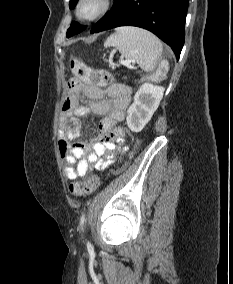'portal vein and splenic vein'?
Segmentation results:
<instances>
[{"mask_svg": "<svg viewBox=\"0 0 233 284\" xmlns=\"http://www.w3.org/2000/svg\"><path fill=\"white\" fill-rule=\"evenodd\" d=\"M122 64H128V62L121 60L120 61Z\"/></svg>", "mask_w": 233, "mask_h": 284, "instance_id": "1", "label": "portal vein and splenic vein"}]
</instances>
